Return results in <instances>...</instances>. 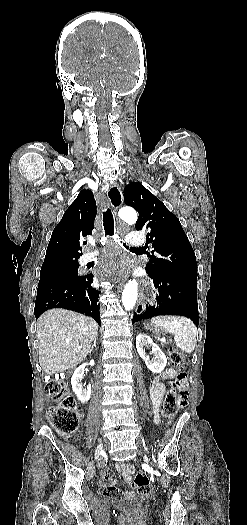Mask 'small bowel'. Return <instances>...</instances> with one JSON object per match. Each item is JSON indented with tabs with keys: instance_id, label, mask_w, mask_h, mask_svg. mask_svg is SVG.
Instances as JSON below:
<instances>
[{
	"instance_id": "1",
	"label": "small bowel",
	"mask_w": 247,
	"mask_h": 525,
	"mask_svg": "<svg viewBox=\"0 0 247 525\" xmlns=\"http://www.w3.org/2000/svg\"><path fill=\"white\" fill-rule=\"evenodd\" d=\"M177 374L178 373L174 368H168L164 370L154 381V385L151 390V399L156 412L159 411L162 398L166 391V386L163 380L176 378ZM117 470L122 474L125 481H129L134 468L133 466L122 461H117L116 469L112 468L110 473L105 475V479L99 480L97 485L99 487H104V489L101 491L102 496L107 497L110 495L112 496V502L114 504H123L125 502V496L127 498H131L133 497L134 493L132 491H126L125 494L118 493L120 490L119 482L118 480L114 479V475L117 474ZM100 479H103V476H100Z\"/></svg>"
}]
</instances>
